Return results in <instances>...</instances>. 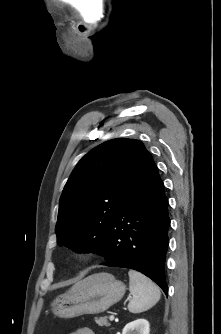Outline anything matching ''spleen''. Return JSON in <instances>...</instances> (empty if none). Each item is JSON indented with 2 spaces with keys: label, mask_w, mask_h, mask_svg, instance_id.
Here are the masks:
<instances>
[{
  "label": "spleen",
  "mask_w": 221,
  "mask_h": 334,
  "mask_svg": "<svg viewBox=\"0 0 221 334\" xmlns=\"http://www.w3.org/2000/svg\"><path fill=\"white\" fill-rule=\"evenodd\" d=\"M129 290L132 298L128 304L131 313H141L153 307L161 297L159 287L142 273L130 270Z\"/></svg>",
  "instance_id": "obj_1"
}]
</instances>
